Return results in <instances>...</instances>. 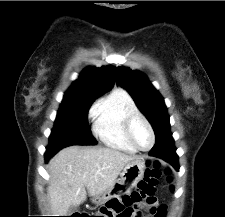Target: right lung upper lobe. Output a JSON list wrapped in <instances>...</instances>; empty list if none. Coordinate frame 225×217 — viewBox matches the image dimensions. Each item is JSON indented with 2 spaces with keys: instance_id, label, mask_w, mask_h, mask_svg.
Masks as SVG:
<instances>
[{
  "instance_id": "right-lung-upper-lobe-1",
  "label": "right lung upper lobe",
  "mask_w": 225,
  "mask_h": 217,
  "mask_svg": "<svg viewBox=\"0 0 225 217\" xmlns=\"http://www.w3.org/2000/svg\"><path fill=\"white\" fill-rule=\"evenodd\" d=\"M115 72L116 68L112 66L87 67L66 91L64 97H99L113 87Z\"/></svg>"
}]
</instances>
